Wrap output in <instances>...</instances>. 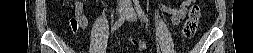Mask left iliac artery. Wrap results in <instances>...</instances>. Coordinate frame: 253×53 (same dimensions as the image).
<instances>
[{"label":"left iliac artery","mask_w":253,"mask_h":53,"mask_svg":"<svg viewBox=\"0 0 253 53\" xmlns=\"http://www.w3.org/2000/svg\"><path fill=\"white\" fill-rule=\"evenodd\" d=\"M134 4H135V9L139 15V17L144 21V22H148V19L144 13V11L142 10L141 6L139 5V1L138 0H134Z\"/></svg>","instance_id":"44dca946"}]
</instances>
